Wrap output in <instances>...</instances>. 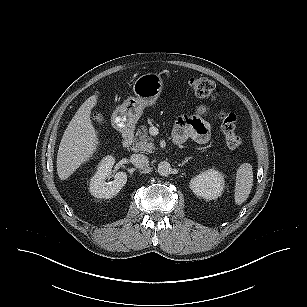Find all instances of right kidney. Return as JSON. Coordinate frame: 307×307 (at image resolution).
<instances>
[{"mask_svg": "<svg viewBox=\"0 0 307 307\" xmlns=\"http://www.w3.org/2000/svg\"><path fill=\"white\" fill-rule=\"evenodd\" d=\"M115 163L113 156H105L97 166V171L90 181V193L96 198H111L115 196L127 182L124 172L115 173L114 180L105 182L112 175V167Z\"/></svg>", "mask_w": 307, "mask_h": 307, "instance_id": "right-kidney-1", "label": "right kidney"}]
</instances>
